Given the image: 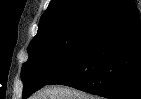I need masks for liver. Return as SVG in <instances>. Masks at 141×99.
Segmentation results:
<instances>
[{
    "mask_svg": "<svg viewBox=\"0 0 141 99\" xmlns=\"http://www.w3.org/2000/svg\"><path fill=\"white\" fill-rule=\"evenodd\" d=\"M32 99H99L97 96L87 94L66 86H51L34 94Z\"/></svg>",
    "mask_w": 141,
    "mask_h": 99,
    "instance_id": "6515ba94",
    "label": "liver"
}]
</instances>
